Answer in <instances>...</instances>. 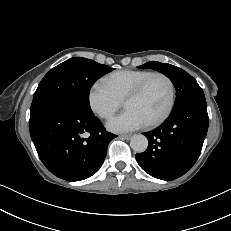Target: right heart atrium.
Listing matches in <instances>:
<instances>
[{
	"label": "right heart atrium",
	"instance_id": "d8ad5b80",
	"mask_svg": "<svg viewBox=\"0 0 231 231\" xmlns=\"http://www.w3.org/2000/svg\"><path fill=\"white\" fill-rule=\"evenodd\" d=\"M91 110L102 119H109L122 106V101L104 81L95 82L88 92Z\"/></svg>",
	"mask_w": 231,
	"mask_h": 231
}]
</instances>
